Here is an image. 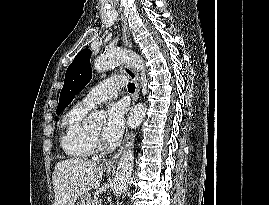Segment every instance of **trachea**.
Instances as JSON below:
<instances>
[{"instance_id":"1","label":"trachea","mask_w":269,"mask_h":205,"mask_svg":"<svg viewBox=\"0 0 269 205\" xmlns=\"http://www.w3.org/2000/svg\"><path fill=\"white\" fill-rule=\"evenodd\" d=\"M128 91L133 93L135 91V85L133 83L128 84Z\"/></svg>"}]
</instances>
